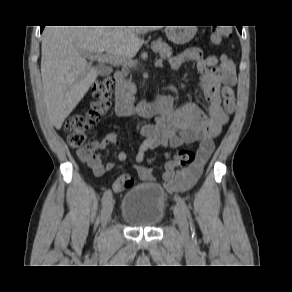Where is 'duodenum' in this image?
<instances>
[{
  "label": "duodenum",
  "mask_w": 292,
  "mask_h": 292,
  "mask_svg": "<svg viewBox=\"0 0 292 292\" xmlns=\"http://www.w3.org/2000/svg\"><path fill=\"white\" fill-rule=\"evenodd\" d=\"M116 91H115V111L118 116H127L130 113V101L123 87L124 75L118 71L115 73ZM168 102V97H161L149 103H143L135 108V112L141 117H149L158 111H162Z\"/></svg>",
  "instance_id": "410a0bca"
}]
</instances>
